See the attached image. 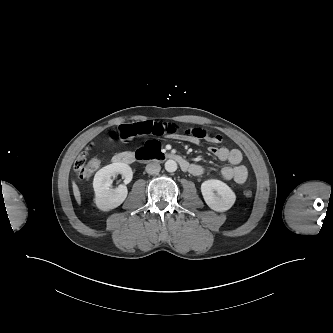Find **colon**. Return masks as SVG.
Wrapping results in <instances>:
<instances>
[{
	"label": "colon",
	"mask_w": 333,
	"mask_h": 333,
	"mask_svg": "<svg viewBox=\"0 0 333 333\" xmlns=\"http://www.w3.org/2000/svg\"><path fill=\"white\" fill-rule=\"evenodd\" d=\"M99 167H100L99 160L95 158L88 159L87 152L82 153L77 158L74 164V170L78 178L81 180H88L89 178H91L99 169ZM244 195L249 198L252 196V191L245 190Z\"/></svg>",
	"instance_id": "obj_1"
}]
</instances>
